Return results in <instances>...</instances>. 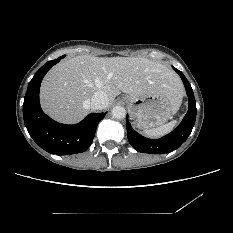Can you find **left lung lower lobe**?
<instances>
[{"instance_id":"left-lung-lower-lobe-1","label":"left lung lower lobe","mask_w":233,"mask_h":233,"mask_svg":"<svg viewBox=\"0 0 233 233\" xmlns=\"http://www.w3.org/2000/svg\"><path fill=\"white\" fill-rule=\"evenodd\" d=\"M173 69L179 74V76L181 77L184 83L187 96L189 98L188 112L186 113L180 125L175 130H173L171 133L160 139H148L138 134L131 127L127 115L126 127H127L128 141L131 144V146L138 152L150 153V154L170 153L176 150L177 148H179L180 145L187 140L195 124L196 102L192 87L181 71H179L174 67Z\"/></svg>"}]
</instances>
